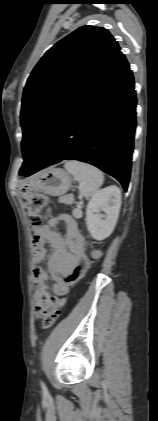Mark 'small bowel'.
I'll return each mask as SVG.
<instances>
[{
    "instance_id": "1",
    "label": "small bowel",
    "mask_w": 158,
    "mask_h": 421,
    "mask_svg": "<svg viewBox=\"0 0 158 421\" xmlns=\"http://www.w3.org/2000/svg\"><path fill=\"white\" fill-rule=\"evenodd\" d=\"M57 220L63 221L66 225L64 237L52 229L55 220L42 227L34 239L32 261L36 285L35 305L39 315L49 308L58 306V298L69 293L70 286L84 275L90 264L85 253V239L76 220L66 214ZM48 247L52 250L49 257ZM45 262L54 280L52 290L55 296H51L49 292V276L43 268Z\"/></svg>"
}]
</instances>
